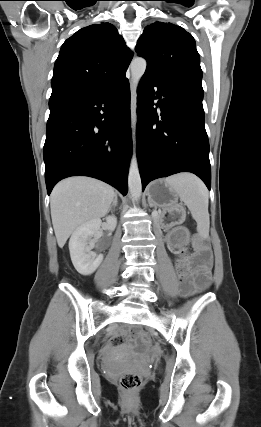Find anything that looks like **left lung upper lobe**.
I'll list each match as a JSON object with an SVG mask.
<instances>
[{"mask_svg":"<svg viewBox=\"0 0 261 427\" xmlns=\"http://www.w3.org/2000/svg\"><path fill=\"white\" fill-rule=\"evenodd\" d=\"M147 60L146 76L202 88V70L195 40L182 27L155 22L144 29L136 46Z\"/></svg>","mask_w":261,"mask_h":427,"instance_id":"5c2ea615","label":"left lung upper lobe"}]
</instances>
